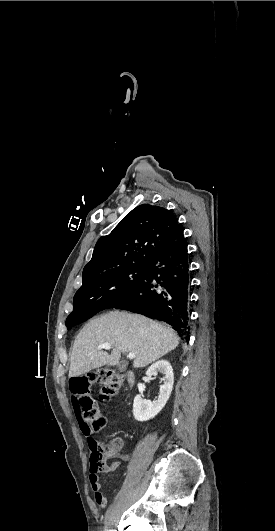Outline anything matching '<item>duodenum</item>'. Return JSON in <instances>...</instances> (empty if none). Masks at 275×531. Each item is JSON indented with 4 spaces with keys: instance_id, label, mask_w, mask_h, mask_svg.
<instances>
[{
    "instance_id": "duodenum-1",
    "label": "duodenum",
    "mask_w": 275,
    "mask_h": 531,
    "mask_svg": "<svg viewBox=\"0 0 275 531\" xmlns=\"http://www.w3.org/2000/svg\"><path fill=\"white\" fill-rule=\"evenodd\" d=\"M126 382L129 387H133L136 381V377L133 371H127L125 374Z\"/></svg>"
}]
</instances>
